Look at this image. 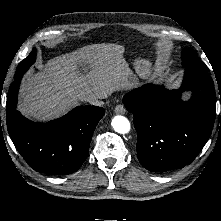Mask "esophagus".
I'll return each mask as SVG.
<instances>
[{
  "label": "esophagus",
  "mask_w": 221,
  "mask_h": 221,
  "mask_svg": "<svg viewBox=\"0 0 221 221\" xmlns=\"http://www.w3.org/2000/svg\"><path fill=\"white\" fill-rule=\"evenodd\" d=\"M114 112L116 114H125L126 109H125V107L122 104H118V105H116V107L114 109Z\"/></svg>",
  "instance_id": "obj_1"
}]
</instances>
